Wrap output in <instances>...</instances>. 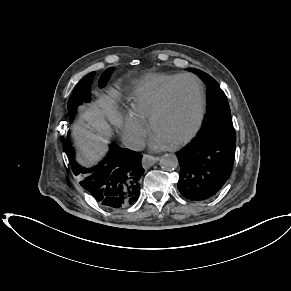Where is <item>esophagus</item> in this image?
Listing matches in <instances>:
<instances>
[{
	"instance_id": "34e87169",
	"label": "esophagus",
	"mask_w": 291,
	"mask_h": 291,
	"mask_svg": "<svg viewBox=\"0 0 291 291\" xmlns=\"http://www.w3.org/2000/svg\"><path fill=\"white\" fill-rule=\"evenodd\" d=\"M159 160L158 156L145 154L142 158V164L145 168L151 167Z\"/></svg>"
}]
</instances>
